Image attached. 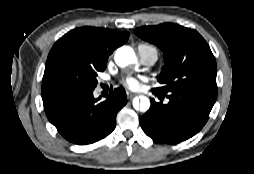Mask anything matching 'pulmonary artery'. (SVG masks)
<instances>
[{
  "instance_id": "obj_1",
  "label": "pulmonary artery",
  "mask_w": 254,
  "mask_h": 174,
  "mask_svg": "<svg viewBox=\"0 0 254 174\" xmlns=\"http://www.w3.org/2000/svg\"><path fill=\"white\" fill-rule=\"evenodd\" d=\"M138 54L145 65H153L158 58L157 50L154 47L139 45Z\"/></svg>"
}]
</instances>
